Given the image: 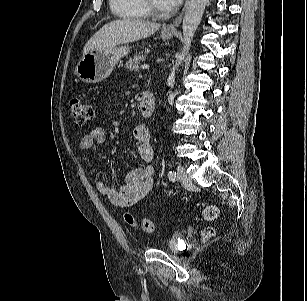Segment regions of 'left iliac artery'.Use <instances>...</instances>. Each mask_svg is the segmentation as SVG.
<instances>
[{
	"label": "left iliac artery",
	"instance_id": "44dca946",
	"mask_svg": "<svg viewBox=\"0 0 307 301\" xmlns=\"http://www.w3.org/2000/svg\"><path fill=\"white\" fill-rule=\"evenodd\" d=\"M168 178L171 180V181H176L178 179V175L175 171H169L168 173Z\"/></svg>",
	"mask_w": 307,
	"mask_h": 301
}]
</instances>
